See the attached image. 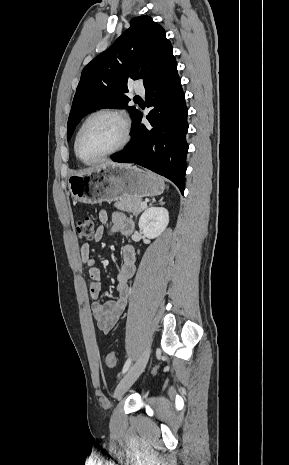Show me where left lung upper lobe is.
Returning a JSON list of instances; mask_svg holds the SVG:
<instances>
[{"label": "left lung upper lobe", "instance_id": "obj_1", "mask_svg": "<svg viewBox=\"0 0 289 465\" xmlns=\"http://www.w3.org/2000/svg\"><path fill=\"white\" fill-rule=\"evenodd\" d=\"M175 68L165 30L149 16L133 18L130 28L83 69L68 118L67 140L81 118L95 109L126 108L134 118L138 110L128 106L127 81L141 79L148 87Z\"/></svg>", "mask_w": 289, "mask_h": 465}]
</instances>
